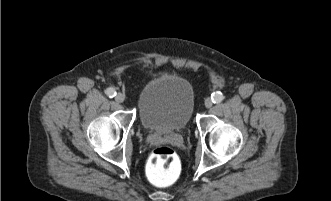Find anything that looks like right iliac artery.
I'll use <instances>...</instances> for the list:
<instances>
[{
    "label": "right iliac artery",
    "mask_w": 331,
    "mask_h": 201,
    "mask_svg": "<svg viewBox=\"0 0 331 201\" xmlns=\"http://www.w3.org/2000/svg\"><path fill=\"white\" fill-rule=\"evenodd\" d=\"M105 93L107 94V96H109L110 98H113L116 95V90L112 87L107 88Z\"/></svg>",
    "instance_id": "right-iliac-artery-1"
}]
</instances>
